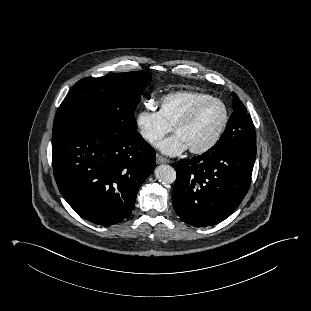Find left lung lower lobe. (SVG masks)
I'll use <instances>...</instances> for the list:
<instances>
[{
    "mask_svg": "<svg viewBox=\"0 0 311 311\" xmlns=\"http://www.w3.org/2000/svg\"><path fill=\"white\" fill-rule=\"evenodd\" d=\"M255 157L256 144H237L178 161L172 193L177 215L195 227L226 219L249 189Z\"/></svg>",
    "mask_w": 311,
    "mask_h": 311,
    "instance_id": "0a47b994",
    "label": "left lung lower lobe"
}]
</instances>
